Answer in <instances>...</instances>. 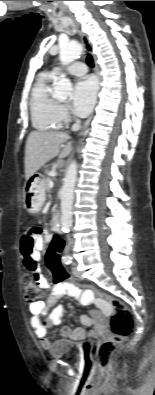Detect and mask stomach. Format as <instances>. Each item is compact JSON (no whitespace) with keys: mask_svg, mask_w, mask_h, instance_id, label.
I'll return each instance as SVG.
<instances>
[{"mask_svg":"<svg viewBox=\"0 0 155 395\" xmlns=\"http://www.w3.org/2000/svg\"><path fill=\"white\" fill-rule=\"evenodd\" d=\"M24 207L29 213H37L45 202L44 179L40 174L29 178L23 190Z\"/></svg>","mask_w":155,"mask_h":395,"instance_id":"stomach-1","label":"stomach"}]
</instances>
